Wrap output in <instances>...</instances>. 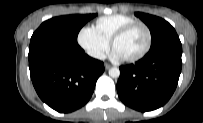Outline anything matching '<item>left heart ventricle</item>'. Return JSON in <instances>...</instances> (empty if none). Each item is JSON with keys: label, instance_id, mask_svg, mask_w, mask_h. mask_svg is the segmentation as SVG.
Wrapping results in <instances>:
<instances>
[{"label": "left heart ventricle", "instance_id": "1", "mask_svg": "<svg viewBox=\"0 0 203 123\" xmlns=\"http://www.w3.org/2000/svg\"><path fill=\"white\" fill-rule=\"evenodd\" d=\"M147 43V34L142 27L132 29L128 34L119 39L114 50L123 58L131 57L141 52Z\"/></svg>", "mask_w": 203, "mask_h": 123}]
</instances>
